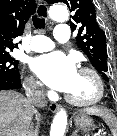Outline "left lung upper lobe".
<instances>
[{"instance_id": "obj_1", "label": "left lung upper lobe", "mask_w": 117, "mask_h": 136, "mask_svg": "<svg viewBox=\"0 0 117 136\" xmlns=\"http://www.w3.org/2000/svg\"><path fill=\"white\" fill-rule=\"evenodd\" d=\"M65 3L70 11L74 12L71 16L70 26L72 30L78 27L76 37L77 45L89 58L92 65L103 76L106 81L107 49L105 33L96 21V11L91 0H59ZM49 4L56 3L54 0H47Z\"/></svg>"}]
</instances>
